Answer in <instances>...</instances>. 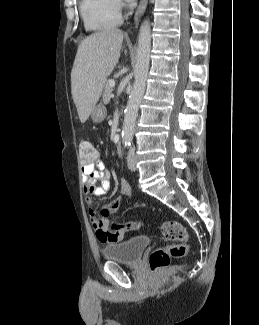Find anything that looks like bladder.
Listing matches in <instances>:
<instances>
[{"instance_id":"obj_1","label":"bladder","mask_w":259,"mask_h":325,"mask_svg":"<svg viewBox=\"0 0 259 325\" xmlns=\"http://www.w3.org/2000/svg\"><path fill=\"white\" fill-rule=\"evenodd\" d=\"M149 244L148 237L136 236L120 243L105 246L102 249V255L109 261L136 264Z\"/></svg>"}]
</instances>
